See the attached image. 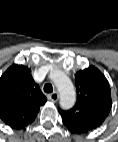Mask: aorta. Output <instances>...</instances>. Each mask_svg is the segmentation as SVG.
Wrapping results in <instances>:
<instances>
[{
    "instance_id": "1",
    "label": "aorta",
    "mask_w": 118,
    "mask_h": 142,
    "mask_svg": "<svg viewBox=\"0 0 118 142\" xmlns=\"http://www.w3.org/2000/svg\"><path fill=\"white\" fill-rule=\"evenodd\" d=\"M50 78L60 93V106L64 109L72 108L76 102V92L70 78L60 70H53Z\"/></svg>"
}]
</instances>
